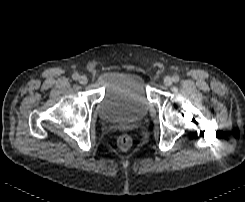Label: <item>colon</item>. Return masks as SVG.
<instances>
[{
  "instance_id": "1",
  "label": "colon",
  "mask_w": 245,
  "mask_h": 202,
  "mask_svg": "<svg viewBox=\"0 0 245 202\" xmlns=\"http://www.w3.org/2000/svg\"><path fill=\"white\" fill-rule=\"evenodd\" d=\"M132 145V138L129 135H122L118 140V146L121 150H127Z\"/></svg>"
}]
</instances>
